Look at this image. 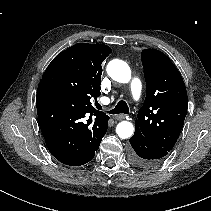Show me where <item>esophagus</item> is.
<instances>
[{
    "label": "esophagus",
    "instance_id": "obj_1",
    "mask_svg": "<svg viewBox=\"0 0 211 211\" xmlns=\"http://www.w3.org/2000/svg\"><path fill=\"white\" fill-rule=\"evenodd\" d=\"M127 116L125 115V114H119V115H116L115 116V119L116 120H123V119H125Z\"/></svg>",
    "mask_w": 211,
    "mask_h": 211
}]
</instances>
